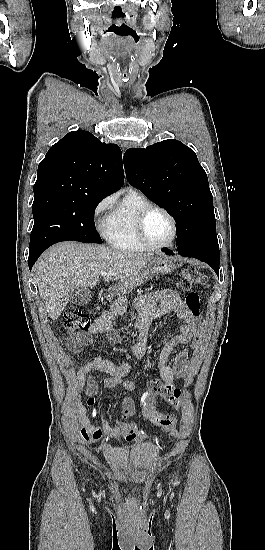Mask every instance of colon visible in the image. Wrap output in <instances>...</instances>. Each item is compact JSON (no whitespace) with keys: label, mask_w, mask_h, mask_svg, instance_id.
I'll use <instances>...</instances> for the list:
<instances>
[{"label":"colon","mask_w":265,"mask_h":550,"mask_svg":"<svg viewBox=\"0 0 265 550\" xmlns=\"http://www.w3.org/2000/svg\"><path fill=\"white\" fill-rule=\"evenodd\" d=\"M204 276L196 268H187L184 270L178 286L183 290H190L194 286L204 282ZM189 312L198 317L200 314V297L196 292H189L185 299ZM90 319L79 308L69 307L64 312L63 328L68 333L86 331L90 328ZM162 396L167 402L178 408L182 404L180 391L177 388H170L159 380L152 381L147 389L141 395L140 405L143 416L150 420H159L161 425L170 431L174 436L177 434L176 421L167 417L160 416L154 408L156 397ZM118 430L128 440L142 439L144 433L136 424L130 422H119Z\"/></svg>","instance_id":"colon-1"}]
</instances>
